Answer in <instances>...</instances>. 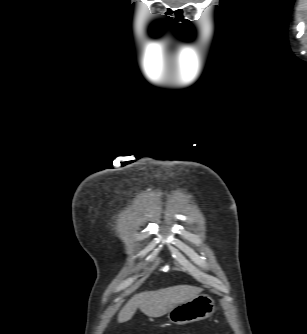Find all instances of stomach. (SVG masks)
Instances as JSON below:
<instances>
[{
  "label": "stomach",
  "mask_w": 307,
  "mask_h": 334,
  "mask_svg": "<svg viewBox=\"0 0 307 334\" xmlns=\"http://www.w3.org/2000/svg\"><path fill=\"white\" fill-rule=\"evenodd\" d=\"M214 312V301L206 294L176 305L167 313L170 322L184 325L206 319Z\"/></svg>",
  "instance_id": "0dacf381"
}]
</instances>
